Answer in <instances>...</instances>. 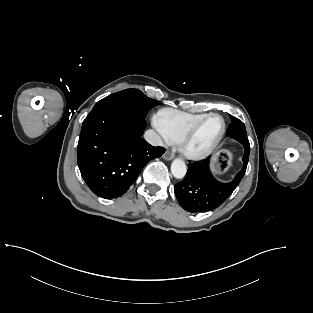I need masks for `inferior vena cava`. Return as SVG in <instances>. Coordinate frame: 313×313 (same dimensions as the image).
I'll list each match as a JSON object with an SVG mask.
<instances>
[{"mask_svg":"<svg viewBox=\"0 0 313 313\" xmlns=\"http://www.w3.org/2000/svg\"><path fill=\"white\" fill-rule=\"evenodd\" d=\"M145 140L153 146H162L163 141L154 130H147L144 134Z\"/></svg>","mask_w":313,"mask_h":313,"instance_id":"inferior-vena-cava-1","label":"inferior vena cava"}]
</instances>
